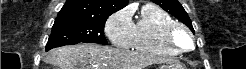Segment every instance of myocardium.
Returning a JSON list of instances; mask_svg holds the SVG:
<instances>
[{"mask_svg": "<svg viewBox=\"0 0 246 69\" xmlns=\"http://www.w3.org/2000/svg\"><path fill=\"white\" fill-rule=\"evenodd\" d=\"M177 31H182L188 36V44L186 46L180 45L175 39V33ZM165 41L168 45L177 48V51L180 53L185 52L188 49H192L193 47V36L192 33L180 23H174L169 25L164 31Z\"/></svg>", "mask_w": 246, "mask_h": 69, "instance_id": "f54148a6", "label": "myocardium"}]
</instances>
